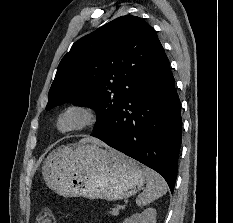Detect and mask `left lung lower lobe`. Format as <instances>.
<instances>
[{
	"mask_svg": "<svg viewBox=\"0 0 233 223\" xmlns=\"http://www.w3.org/2000/svg\"><path fill=\"white\" fill-rule=\"evenodd\" d=\"M181 131V104L160 43L117 115L91 136L157 171L173 192Z\"/></svg>",
	"mask_w": 233,
	"mask_h": 223,
	"instance_id": "obj_1",
	"label": "left lung lower lobe"
}]
</instances>
